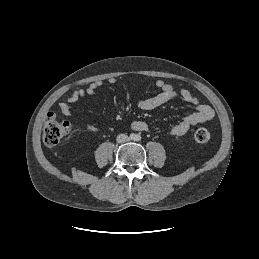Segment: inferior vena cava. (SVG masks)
I'll return each mask as SVG.
<instances>
[{
	"mask_svg": "<svg viewBox=\"0 0 259 259\" xmlns=\"http://www.w3.org/2000/svg\"><path fill=\"white\" fill-rule=\"evenodd\" d=\"M118 143H124L129 141V137L126 134H119L116 138Z\"/></svg>",
	"mask_w": 259,
	"mask_h": 259,
	"instance_id": "602c4592",
	"label": "inferior vena cava"
}]
</instances>
